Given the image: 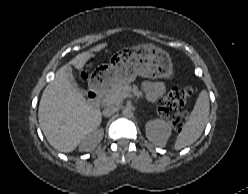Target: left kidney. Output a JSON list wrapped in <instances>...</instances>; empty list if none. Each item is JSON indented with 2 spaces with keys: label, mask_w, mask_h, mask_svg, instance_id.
Here are the masks:
<instances>
[{
  "label": "left kidney",
  "mask_w": 248,
  "mask_h": 194,
  "mask_svg": "<svg viewBox=\"0 0 248 194\" xmlns=\"http://www.w3.org/2000/svg\"><path fill=\"white\" fill-rule=\"evenodd\" d=\"M146 136L155 146L164 147L171 135V125L161 119L150 120L145 125Z\"/></svg>",
  "instance_id": "5707ae66"
}]
</instances>
